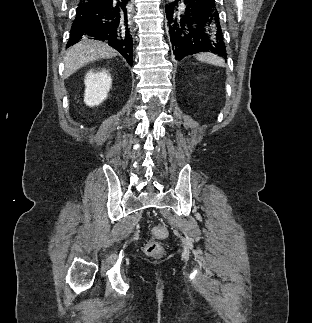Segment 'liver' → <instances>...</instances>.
<instances>
[{
    "label": "liver",
    "mask_w": 312,
    "mask_h": 323,
    "mask_svg": "<svg viewBox=\"0 0 312 323\" xmlns=\"http://www.w3.org/2000/svg\"><path fill=\"white\" fill-rule=\"evenodd\" d=\"M112 56H117V52L110 48L108 44L83 38L81 42L69 48L64 58L65 78L77 72L88 62H95L99 58H112Z\"/></svg>",
    "instance_id": "1"
}]
</instances>
